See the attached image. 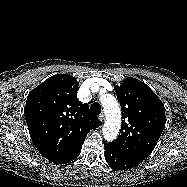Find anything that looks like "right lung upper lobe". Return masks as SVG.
Returning <instances> with one entry per match:
<instances>
[{"label":"right lung upper lobe","mask_w":187,"mask_h":187,"mask_svg":"<svg viewBox=\"0 0 187 187\" xmlns=\"http://www.w3.org/2000/svg\"><path fill=\"white\" fill-rule=\"evenodd\" d=\"M77 80L68 74L49 77L27 97L25 118L33 143L57 164L74 160L91 129L102 123L77 99Z\"/></svg>","instance_id":"obj_1"}]
</instances>
